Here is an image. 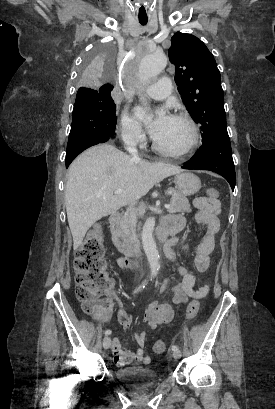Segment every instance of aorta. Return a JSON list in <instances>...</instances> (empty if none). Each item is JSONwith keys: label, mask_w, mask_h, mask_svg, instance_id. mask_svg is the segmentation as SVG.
I'll use <instances>...</instances> for the list:
<instances>
[{"label": "aorta", "mask_w": 275, "mask_h": 409, "mask_svg": "<svg viewBox=\"0 0 275 409\" xmlns=\"http://www.w3.org/2000/svg\"><path fill=\"white\" fill-rule=\"evenodd\" d=\"M166 64L167 56H165L163 51H144L143 58L139 66L141 82H145V80H148V78H151V76H155V74L162 72ZM140 100L142 104H147V100L145 96H142V94H140ZM148 118H152L151 114L148 116ZM154 227L155 219L154 217H150V219H147L146 223H144V227L142 229V245L145 255L149 261L151 277H156L160 269L159 255L156 243L153 239Z\"/></svg>", "instance_id": "aorta-1"}]
</instances>
